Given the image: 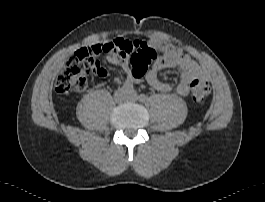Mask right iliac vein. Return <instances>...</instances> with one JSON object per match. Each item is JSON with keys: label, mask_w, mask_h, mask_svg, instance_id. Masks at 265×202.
I'll return each instance as SVG.
<instances>
[{"label": "right iliac vein", "mask_w": 265, "mask_h": 202, "mask_svg": "<svg viewBox=\"0 0 265 202\" xmlns=\"http://www.w3.org/2000/svg\"><path fill=\"white\" fill-rule=\"evenodd\" d=\"M124 95H125V91L123 89H119L115 93V98L118 101H123L124 100Z\"/></svg>", "instance_id": "63e3f726"}]
</instances>
